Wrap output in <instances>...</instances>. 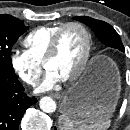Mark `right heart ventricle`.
I'll list each match as a JSON object with an SVG mask.
<instances>
[{
  "instance_id": "1",
  "label": "right heart ventricle",
  "mask_w": 130,
  "mask_h": 130,
  "mask_svg": "<svg viewBox=\"0 0 130 130\" xmlns=\"http://www.w3.org/2000/svg\"><path fill=\"white\" fill-rule=\"evenodd\" d=\"M60 26L61 24L40 26L25 36L23 44L26 47L28 54L35 61L39 63L43 62L51 39Z\"/></svg>"
}]
</instances>
